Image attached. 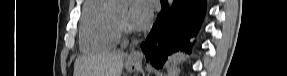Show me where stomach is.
Wrapping results in <instances>:
<instances>
[{"instance_id":"0dacf381","label":"stomach","mask_w":287,"mask_h":76,"mask_svg":"<svg viewBox=\"0 0 287 76\" xmlns=\"http://www.w3.org/2000/svg\"><path fill=\"white\" fill-rule=\"evenodd\" d=\"M139 66V62L134 61L130 58H127L126 63H125V67L129 72H132L133 70H135L137 67Z\"/></svg>"}]
</instances>
